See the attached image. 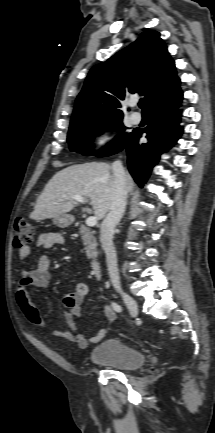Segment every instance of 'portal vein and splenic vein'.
I'll use <instances>...</instances> for the list:
<instances>
[{"label": "portal vein and splenic vein", "mask_w": 215, "mask_h": 433, "mask_svg": "<svg viewBox=\"0 0 215 433\" xmlns=\"http://www.w3.org/2000/svg\"><path fill=\"white\" fill-rule=\"evenodd\" d=\"M72 199L75 200V201H77V202H80V203H84V202H85L84 197H82V196H80V195H74V196H72ZM86 224H87L88 226H90V227L95 226V225L97 224V218L94 217V216H89V217L86 219Z\"/></svg>", "instance_id": "portal-vein-and-splenic-vein-1"}]
</instances>
